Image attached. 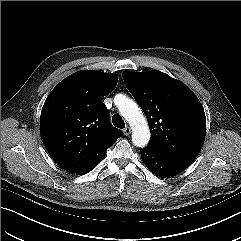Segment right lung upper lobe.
<instances>
[{
	"label": "right lung upper lobe",
	"mask_w": 241,
	"mask_h": 241,
	"mask_svg": "<svg viewBox=\"0 0 241 241\" xmlns=\"http://www.w3.org/2000/svg\"><path fill=\"white\" fill-rule=\"evenodd\" d=\"M117 81L115 74L83 70L62 80L48 95L41 111V138L64 170L80 174L97 165L122 136L102 102Z\"/></svg>",
	"instance_id": "1"
}]
</instances>
